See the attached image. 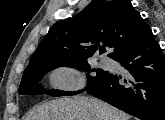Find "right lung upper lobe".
Returning <instances> with one entry per match:
<instances>
[{
    "label": "right lung upper lobe",
    "mask_w": 165,
    "mask_h": 120,
    "mask_svg": "<svg viewBox=\"0 0 165 120\" xmlns=\"http://www.w3.org/2000/svg\"><path fill=\"white\" fill-rule=\"evenodd\" d=\"M151 33L129 0H93L73 18L55 23L28 65L44 60L89 58L104 53L106 47L110 49L108 56L114 58Z\"/></svg>",
    "instance_id": "1"
}]
</instances>
